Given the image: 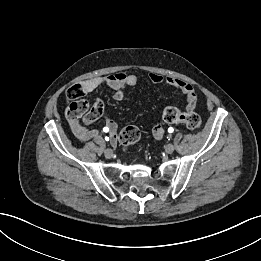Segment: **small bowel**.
<instances>
[{
    "label": "small bowel",
    "mask_w": 261,
    "mask_h": 261,
    "mask_svg": "<svg viewBox=\"0 0 261 261\" xmlns=\"http://www.w3.org/2000/svg\"><path fill=\"white\" fill-rule=\"evenodd\" d=\"M149 78L152 83L154 84H161L166 83L178 90H180L186 97V112H191L195 109L197 105V93L193 86L179 78L170 77V76H162L157 73H151L149 75ZM138 78L134 74H127L124 72L115 73L112 75L107 76H99L95 78H91L88 80H85L80 83L83 91L85 94L90 93L97 89L98 87L102 85H106L110 87L112 90H114V98L117 101H123L124 100V90L126 88H133L137 85ZM100 106L102 107V110L104 112V107L102 102L97 101ZM69 109L67 110V119L70 125V128L72 130V133L74 136L82 141H88L90 139H93L98 136V131L93 128H88L85 125H83L79 121V117H73L69 113ZM85 123L88 124L90 122L85 120ZM108 128L112 143H116V131H117V124L115 121L108 119L106 121V126ZM165 134V128L162 125H158L153 129V136L156 140H161Z\"/></svg>",
    "instance_id": "obj_1"
}]
</instances>
